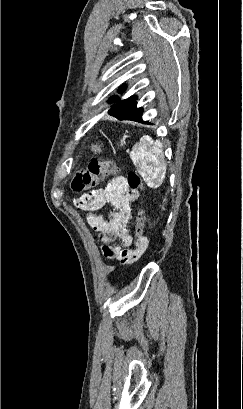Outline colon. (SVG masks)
Masks as SVG:
<instances>
[{"mask_svg": "<svg viewBox=\"0 0 243 409\" xmlns=\"http://www.w3.org/2000/svg\"><path fill=\"white\" fill-rule=\"evenodd\" d=\"M118 171L113 161L92 160L86 169L78 170L71 181V188L75 192H84L92 189L98 182L109 176H113ZM129 188L143 190V183L140 175L130 172L127 176ZM145 215L142 208L139 209L135 221V242L140 245L144 239Z\"/></svg>", "mask_w": 243, "mask_h": 409, "instance_id": "5ec220e1", "label": "colon"}]
</instances>
